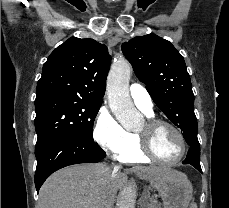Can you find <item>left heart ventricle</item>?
<instances>
[{
  "label": "left heart ventricle",
  "instance_id": "left-heart-ventricle-1",
  "mask_svg": "<svg viewBox=\"0 0 229 208\" xmlns=\"http://www.w3.org/2000/svg\"><path fill=\"white\" fill-rule=\"evenodd\" d=\"M171 130L169 127H160L154 132V139H150V151L155 152V157H160V160H174L185 151V147H178V143H174ZM146 131L147 127L144 124L139 132Z\"/></svg>",
  "mask_w": 229,
  "mask_h": 208
}]
</instances>
